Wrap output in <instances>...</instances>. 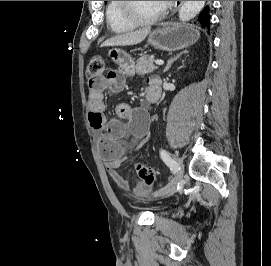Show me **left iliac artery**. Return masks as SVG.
<instances>
[{
    "mask_svg": "<svg viewBox=\"0 0 271 266\" xmlns=\"http://www.w3.org/2000/svg\"><path fill=\"white\" fill-rule=\"evenodd\" d=\"M160 156L165 164L170 168V170L175 173L176 172V164L175 161L171 158L170 154L164 150L160 149Z\"/></svg>",
    "mask_w": 271,
    "mask_h": 266,
    "instance_id": "1",
    "label": "left iliac artery"
}]
</instances>
